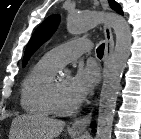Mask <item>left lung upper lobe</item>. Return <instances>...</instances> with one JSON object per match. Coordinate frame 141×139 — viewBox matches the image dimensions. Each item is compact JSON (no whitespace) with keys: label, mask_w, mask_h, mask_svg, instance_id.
Returning a JSON list of instances; mask_svg holds the SVG:
<instances>
[{"label":"left lung upper lobe","mask_w":141,"mask_h":139,"mask_svg":"<svg viewBox=\"0 0 141 139\" xmlns=\"http://www.w3.org/2000/svg\"><path fill=\"white\" fill-rule=\"evenodd\" d=\"M109 3L115 11L122 14V9L117 2L114 0H109ZM59 22V15H51L35 30L25 50L23 67L27 64L33 53L51 37Z\"/></svg>","instance_id":"5c2ea615"}]
</instances>
